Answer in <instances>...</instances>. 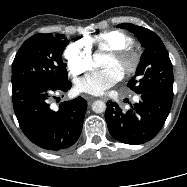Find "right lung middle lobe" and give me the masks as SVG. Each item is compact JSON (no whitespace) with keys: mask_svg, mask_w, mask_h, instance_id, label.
<instances>
[{"mask_svg":"<svg viewBox=\"0 0 187 187\" xmlns=\"http://www.w3.org/2000/svg\"><path fill=\"white\" fill-rule=\"evenodd\" d=\"M68 43L63 34L41 33L28 38L12 64V92L26 84H61L67 81L62 53Z\"/></svg>","mask_w":187,"mask_h":187,"instance_id":"obj_1","label":"right lung middle lobe"}]
</instances>
